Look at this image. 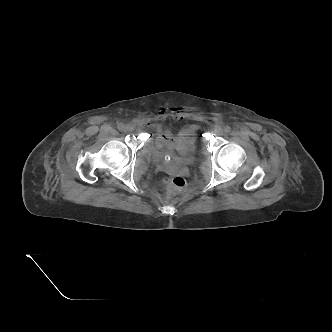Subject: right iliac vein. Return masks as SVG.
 Listing matches in <instances>:
<instances>
[{"instance_id": "right-iliac-vein-1", "label": "right iliac vein", "mask_w": 332, "mask_h": 332, "mask_svg": "<svg viewBox=\"0 0 332 332\" xmlns=\"http://www.w3.org/2000/svg\"><path fill=\"white\" fill-rule=\"evenodd\" d=\"M124 132H132L133 131V127L129 124L125 125L123 128Z\"/></svg>"}]
</instances>
